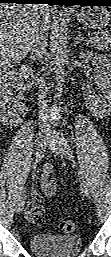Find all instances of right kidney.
Wrapping results in <instances>:
<instances>
[{"mask_svg":"<svg viewBox=\"0 0 111 257\" xmlns=\"http://www.w3.org/2000/svg\"><path fill=\"white\" fill-rule=\"evenodd\" d=\"M33 70L29 65H22L21 68L6 72L0 78V99H1V121L9 124L14 122L18 111H22L24 105L19 98L13 96V89L22 82L25 77L32 75ZM20 113V112H19ZM13 118V119H10Z\"/></svg>","mask_w":111,"mask_h":257,"instance_id":"ca27d5eb","label":"right kidney"}]
</instances>
